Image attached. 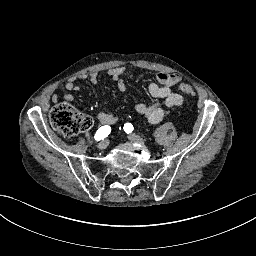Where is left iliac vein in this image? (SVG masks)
Listing matches in <instances>:
<instances>
[{"mask_svg":"<svg viewBox=\"0 0 256 256\" xmlns=\"http://www.w3.org/2000/svg\"><path fill=\"white\" fill-rule=\"evenodd\" d=\"M128 139L133 142L144 143V140L137 134L128 135Z\"/></svg>","mask_w":256,"mask_h":256,"instance_id":"left-iliac-vein-1","label":"left iliac vein"}]
</instances>
